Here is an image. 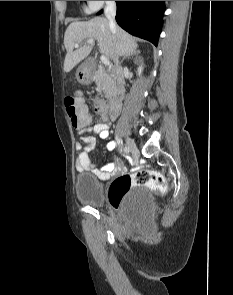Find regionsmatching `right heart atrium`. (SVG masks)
Segmentation results:
<instances>
[{
  "label": "right heart atrium",
  "mask_w": 233,
  "mask_h": 295,
  "mask_svg": "<svg viewBox=\"0 0 233 295\" xmlns=\"http://www.w3.org/2000/svg\"><path fill=\"white\" fill-rule=\"evenodd\" d=\"M107 2L110 1H85L84 10L87 13H93L99 10Z\"/></svg>",
  "instance_id": "d8ad5b80"
}]
</instances>
